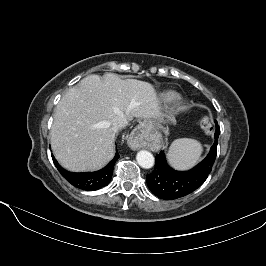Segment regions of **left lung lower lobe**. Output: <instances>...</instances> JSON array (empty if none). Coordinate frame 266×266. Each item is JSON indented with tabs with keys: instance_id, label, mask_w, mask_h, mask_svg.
<instances>
[{
	"instance_id": "left-lung-lower-lobe-1",
	"label": "left lung lower lobe",
	"mask_w": 266,
	"mask_h": 266,
	"mask_svg": "<svg viewBox=\"0 0 266 266\" xmlns=\"http://www.w3.org/2000/svg\"><path fill=\"white\" fill-rule=\"evenodd\" d=\"M220 129L215 131V142L206 158L189 171H176L166 161L161 151L156 155L155 168L147 175V185L150 191L164 200L184 197L199 188L207 179L217 155V144Z\"/></svg>"
}]
</instances>
